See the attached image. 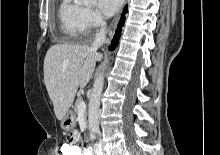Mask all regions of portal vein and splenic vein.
<instances>
[{"label": "portal vein and splenic vein", "mask_w": 220, "mask_h": 155, "mask_svg": "<svg viewBox=\"0 0 220 155\" xmlns=\"http://www.w3.org/2000/svg\"><path fill=\"white\" fill-rule=\"evenodd\" d=\"M85 109H86V104L84 101H81L80 104L78 105V110L84 111Z\"/></svg>", "instance_id": "portal-vein-and-splenic-vein-1"}]
</instances>
